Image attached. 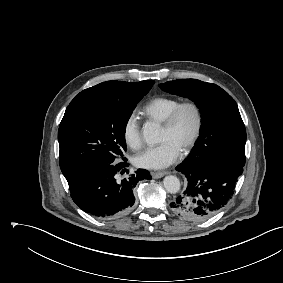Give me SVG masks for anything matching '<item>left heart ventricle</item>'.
<instances>
[{"instance_id":"left-heart-ventricle-1","label":"left heart ventricle","mask_w":283,"mask_h":283,"mask_svg":"<svg viewBox=\"0 0 283 283\" xmlns=\"http://www.w3.org/2000/svg\"><path fill=\"white\" fill-rule=\"evenodd\" d=\"M195 124L194 114L190 109L184 110L175 128L171 131L161 129L159 141H170L175 144L178 148L182 149L185 143L190 138Z\"/></svg>"}]
</instances>
